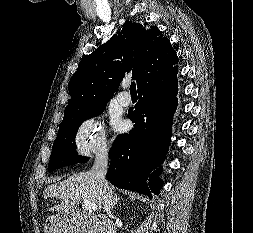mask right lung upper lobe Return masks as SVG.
<instances>
[{
    "instance_id": "right-lung-upper-lobe-1",
    "label": "right lung upper lobe",
    "mask_w": 253,
    "mask_h": 233,
    "mask_svg": "<svg viewBox=\"0 0 253 233\" xmlns=\"http://www.w3.org/2000/svg\"><path fill=\"white\" fill-rule=\"evenodd\" d=\"M178 57L168 38L147 22L126 21L123 29L79 63L69 82L71 99L64 119L94 105L108 102L125 74L140 89L152 78L171 70Z\"/></svg>"
}]
</instances>
